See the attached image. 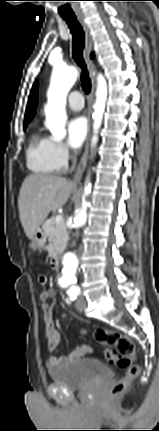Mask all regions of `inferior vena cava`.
Masks as SVG:
<instances>
[{"label":"inferior vena cava","mask_w":159,"mask_h":431,"mask_svg":"<svg viewBox=\"0 0 159 431\" xmlns=\"http://www.w3.org/2000/svg\"><path fill=\"white\" fill-rule=\"evenodd\" d=\"M75 163H76V160H75V158H74L72 169H74Z\"/></svg>","instance_id":"obj_1"}]
</instances>
